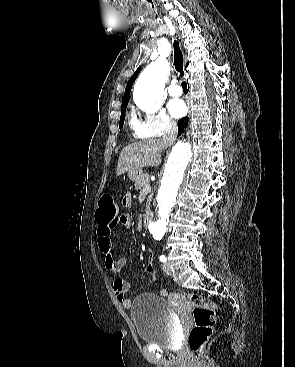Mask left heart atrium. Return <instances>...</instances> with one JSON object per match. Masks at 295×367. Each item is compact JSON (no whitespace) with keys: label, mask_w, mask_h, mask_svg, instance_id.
Returning <instances> with one entry per match:
<instances>
[{"label":"left heart atrium","mask_w":295,"mask_h":367,"mask_svg":"<svg viewBox=\"0 0 295 367\" xmlns=\"http://www.w3.org/2000/svg\"><path fill=\"white\" fill-rule=\"evenodd\" d=\"M169 111L175 118H179L186 113V105L182 100H172L169 103Z\"/></svg>","instance_id":"obj_1"}]
</instances>
